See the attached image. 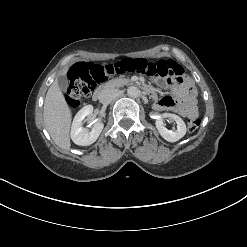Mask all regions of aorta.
I'll return each mask as SVG.
<instances>
[{
    "label": "aorta",
    "instance_id": "762f6f07",
    "mask_svg": "<svg viewBox=\"0 0 247 247\" xmlns=\"http://www.w3.org/2000/svg\"><path fill=\"white\" fill-rule=\"evenodd\" d=\"M140 94L139 89L136 86H130L127 89V95L132 98L138 97Z\"/></svg>",
    "mask_w": 247,
    "mask_h": 247
}]
</instances>
